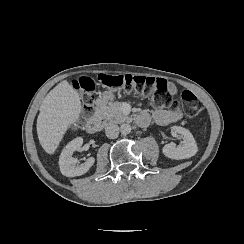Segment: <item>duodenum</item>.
Wrapping results in <instances>:
<instances>
[{
	"label": "duodenum",
	"instance_id": "1",
	"mask_svg": "<svg viewBox=\"0 0 244 244\" xmlns=\"http://www.w3.org/2000/svg\"><path fill=\"white\" fill-rule=\"evenodd\" d=\"M105 103L106 101L104 98H100L95 102V111L97 112V115L89 118L86 122V130L89 133L98 132L101 125L103 124L104 116L102 115V111L104 110ZM138 121L140 124L144 125L147 123L148 118L142 114L138 117Z\"/></svg>",
	"mask_w": 244,
	"mask_h": 244
}]
</instances>
